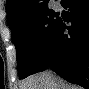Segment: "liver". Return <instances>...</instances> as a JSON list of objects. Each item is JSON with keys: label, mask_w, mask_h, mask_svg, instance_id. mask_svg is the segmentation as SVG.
Segmentation results:
<instances>
[{"label": "liver", "mask_w": 89, "mask_h": 89, "mask_svg": "<svg viewBox=\"0 0 89 89\" xmlns=\"http://www.w3.org/2000/svg\"><path fill=\"white\" fill-rule=\"evenodd\" d=\"M23 87H25V89H65L60 87L71 86H62L61 80L58 79L51 71H45L27 78Z\"/></svg>", "instance_id": "liver-1"}]
</instances>
